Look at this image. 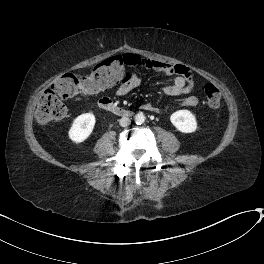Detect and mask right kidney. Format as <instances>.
Instances as JSON below:
<instances>
[{"mask_svg":"<svg viewBox=\"0 0 264 264\" xmlns=\"http://www.w3.org/2000/svg\"><path fill=\"white\" fill-rule=\"evenodd\" d=\"M96 119L92 113H84L74 119L68 132L69 138L75 143L85 141L92 133Z\"/></svg>","mask_w":264,"mask_h":264,"instance_id":"obj_1","label":"right kidney"}]
</instances>
